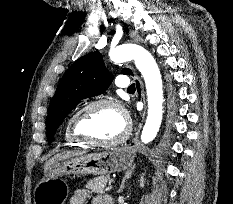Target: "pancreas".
Masks as SVG:
<instances>
[{"mask_svg":"<svg viewBox=\"0 0 233 204\" xmlns=\"http://www.w3.org/2000/svg\"><path fill=\"white\" fill-rule=\"evenodd\" d=\"M109 176H99L89 180L86 184V188L89 189L91 192L102 194L105 192V185L108 181H110Z\"/></svg>","mask_w":233,"mask_h":204,"instance_id":"pancreas-1","label":"pancreas"}]
</instances>
